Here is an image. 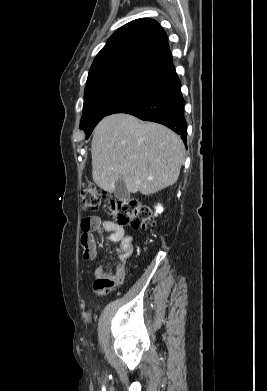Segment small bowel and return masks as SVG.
I'll list each match as a JSON object with an SVG mask.
<instances>
[{
    "mask_svg": "<svg viewBox=\"0 0 267 391\" xmlns=\"http://www.w3.org/2000/svg\"><path fill=\"white\" fill-rule=\"evenodd\" d=\"M81 245L83 247V257L86 260H92L96 256V242L94 233L104 231L108 233V241L119 243L116 250L118 263L113 271H107L99 266L95 269L94 289L98 293H105L109 289L119 285L126 272V263L133 253V236L126 234L125 229L114 221L103 219L94 215L86 217L81 223Z\"/></svg>",
    "mask_w": 267,
    "mask_h": 391,
    "instance_id": "obj_1",
    "label": "small bowel"
}]
</instances>
